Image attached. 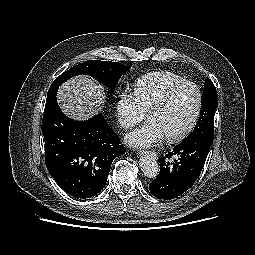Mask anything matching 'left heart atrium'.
<instances>
[{
  "instance_id": "left-heart-atrium-1",
  "label": "left heart atrium",
  "mask_w": 255,
  "mask_h": 255,
  "mask_svg": "<svg viewBox=\"0 0 255 255\" xmlns=\"http://www.w3.org/2000/svg\"><path fill=\"white\" fill-rule=\"evenodd\" d=\"M164 137L159 125L149 120L143 126L126 134L125 142L131 147L143 149L160 143Z\"/></svg>"
}]
</instances>
